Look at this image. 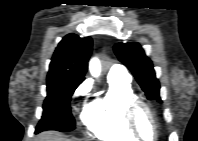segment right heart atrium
<instances>
[{"label":"right heart atrium","instance_id":"d8ad5b80","mask_svg":"<svg viewBox=\"0 0 198 141\" xmlns=\"http://www.w3.org/2000/svg\"><path fill=\"white\" fill-rule=\"evenodd\" d=\"M91 85L89 82H83L74 92V97L76 98H85L89 95Z\"/></svg>","mask_w":198,"mask_h":141}]
</instances>
